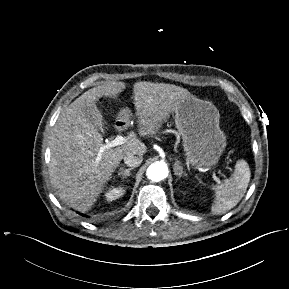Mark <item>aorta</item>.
Masks as SVG:
<instances>
[{
    "mask_svg": "<svg viewBox=\"0 0 289 289\" xmlns=\"http://www.w3.org/2000/svg\"><path fill=\"white\" fill-rule=\"evenodd\" d=\"M148 179L154 182H159L168 176L167 165L163 162H155L151 164L146 171Z\"/></svg>",
    "mask_w": 289,
    "mask_h": 289,
    "instance_id": "762f6f07",
    "label": "aorta"
}]
</instances>
